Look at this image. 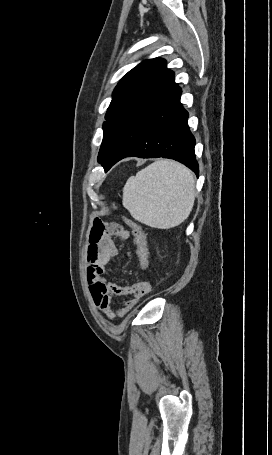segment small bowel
<instances>
[{"label": "small bowel", "instance_id": "small-bowel-1", "mask_svg": "<svg viewBox=\"0 0 272 455\" xmlns=\"http://www.w3.org/2000/svg\"><path fill=\"white\" fill-rule=\"evenodd\" d=\"M114 236L125 243L129 240L130 234L117 224L95 220L90 230L87 250L90 291L97 307L109 319L124 316L151 289L150 279L129 286H119L106 279L107 267L117 253ZM115 298H123V301L116 303Z\"/></svg>", "mask_w": 272, "mask_h": 455}]
</instances>
